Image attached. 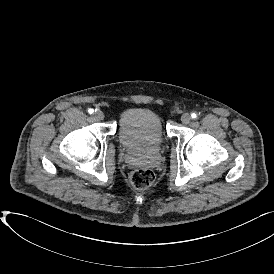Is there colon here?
<instances>
[{
    "label": "colon",
    "instance_id": "1",
    "mask_svg": "<svg viewBox=\"0 0 274 274\" xmlns=\"http://www.w3.org/2000/svg\"><path fill=\"white\" fill-rule=\"evenodd\" d=\"M155 181V174L150 168H138L129 176L130 184L137 190L150 188Z\"/></svg>",
    "mask_w": 274,
    "mask_h": 274
}]
</instances>
